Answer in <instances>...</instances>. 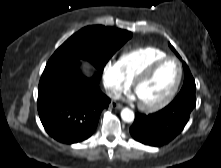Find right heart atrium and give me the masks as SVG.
<instances>
[{"mask_svg": "<svg viewBox=\"0 0 221 168\" xmlns=\"http://www.w3.org/2000/svg\"><path fill=\"white\" fill-rule=\"evenodd\" d=\"M102 82L107 95L111 98L119 96L129 86L118 61L108 60L102 69Z\"/></svg>", "mask_w": 221, "mask_h": 168, "instance_id": "d8ad5b80", "label": "right heart atrium"}]
</instances>
